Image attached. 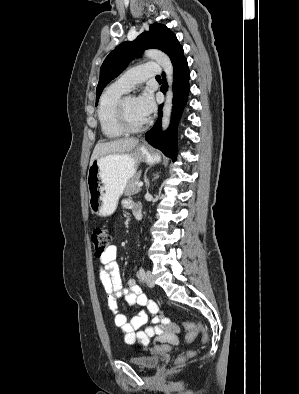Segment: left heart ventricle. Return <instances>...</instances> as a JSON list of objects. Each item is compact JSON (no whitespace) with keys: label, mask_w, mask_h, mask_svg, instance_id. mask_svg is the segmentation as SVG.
<instances>
[{"label":"left heart ventricle","mask_w":299,"mask_h":394,"mask_svg":"<svg viewBox=\"0 0 299 394\" xmlns=\"http://www.w3.org/2000/svg\"><path fill=\"white\" fill-rule=\"evenodd\" d=\"M125 114L127 121L130 125L132 126H138L144 123L146 120L142 117V115L139 113L137 107H136V102L135 98L130 97L127 99L125 103Z\"/></svg>","instance_id":"b2bd125f"}]
</instances>
